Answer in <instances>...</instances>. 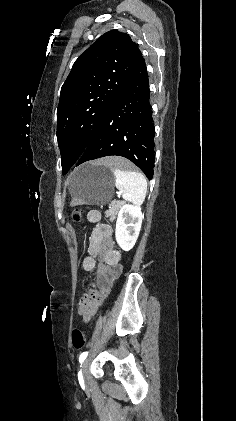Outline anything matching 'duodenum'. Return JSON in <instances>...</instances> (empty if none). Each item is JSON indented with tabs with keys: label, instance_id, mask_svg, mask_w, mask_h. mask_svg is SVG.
Wrapping results in <instances>:
<instances>
[{
	"label": "duodenum",
	"instance_id": "duodenum-1",
	"mask_svg": "<svg viewBox=\"0 0 236 421\" xmlns=\"http://www.w3.org/2000/svg\"><path fill=\"white\" fill-rule=\"evenodd\" d=\"M102 265L98 269V280L96 289L88 296L84 297L82 308L84 314L93 315L102 305L110 287L120 271V254L111 248L108 243L103 244L99 249ZM91 260L94 259L92 256Z\"/></svg>",
	"mask_w": 236,
	"mask_h": 421
}]
</instances>
